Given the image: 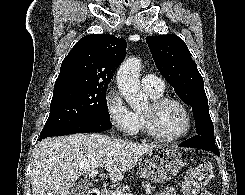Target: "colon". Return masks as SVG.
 Listing matches in <instances>:
<instances>
[{
	"label": "colon",
	"instance_id": "colon-1",
	"mask_svg": "<svg viewBox=\"0 0 245 195\" xmlns=\"http://www.w3.org/2000/svg\"><path fill=\"white\" fill-rule=\"evenodd\" d=\"M213 177V166L209 161H201L185 174L182 184L183 195H211L206 185Z\"/></svg>",
	"mask_w": 245,
	"mask_h": 195
}]
</instances>
